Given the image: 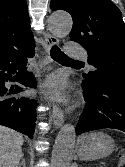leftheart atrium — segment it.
Segmentation results:
<instances>
[{
	"label": "left heart atrium",
	"instance_id": "left-heart-atrium-1",
	"mask_svg": "<svg viewBox=\"0 0 125 167\" xmlns=\"http://www.w3.org/2000/svg\"><path fill=\"white\" fill-rule=\"evenodd\" d=\"M44 92L57 101L66 99L65 83L59 76H51L44 84Z\"/></svg>",
	"mask_w": 125,
	"mask_h": 167
}]
</instances>
